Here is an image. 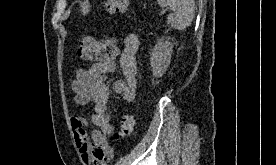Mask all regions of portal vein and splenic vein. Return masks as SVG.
<instances>
[{
  "label": "portal vein and splenic vein",
  "mask_w": 276,
  "mask_h": 165,
  "mask_svg": "<svg viewBox=\"0 0 276 165\" xmlns=\"http://www.w3.org/2000/svg\"><path fill=\"white\" fill-rule=\"evenodd\" d=\"M167 11V9H163L162 11H161V13H165Z\"/></svg>",
  "instance_id": "portal-vein-and-splenic-vein-1"
}]
</instances>
